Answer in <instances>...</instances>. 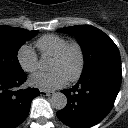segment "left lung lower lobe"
I'll return each instance as SVG.
<instances>
[{
  "label": "left lung lower lobe",
  "instance_id": "1",
  "mask_svg": "<svg viewBox=\"0 0 128 128\" xmlns=\"http://www.w3.org/2000/svg\"><path fill=\"white\" fill-rule=\"evenodd\" d=\"M122 81L120 62L97 64L81 75L73 88L62 90L67 106L57 117L72 128H88L101 122L112 109Z\"/></svg>",
  "mask_w": 128,
  "mask_h": 128
}]
</instances>
